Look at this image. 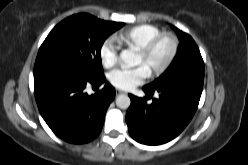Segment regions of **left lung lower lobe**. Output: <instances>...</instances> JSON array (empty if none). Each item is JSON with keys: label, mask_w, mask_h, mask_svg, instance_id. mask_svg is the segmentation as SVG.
<instances>
[{"label": "left lung lower lobe", "mask_w": 248, "mask_h": 165, "mask_svg": "<svg viewBox=\"0 0 248 165\" xmlns=\"http://www.w3.org/2000/svg\"><path fill=\"white\" fill-rule=\"evenodd\" d=\"M203 83L168 84L156 89L143 87L146 98L129 95L126 113L130 135L146 145L164 144L178 136L192 119L201 97ZM157 93L152 103L147 99Z\"/></svg>", "instance_id": "0a47b994"}]
</instances>
